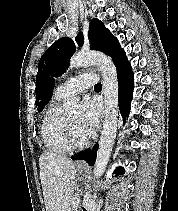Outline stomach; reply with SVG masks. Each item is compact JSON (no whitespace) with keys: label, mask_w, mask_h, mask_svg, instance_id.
<instances>
[{"label":"stomach","mask_w":178,"mask_h":211,"mask_svg":"<svg viewBox=\"0 0 178 211\" xmlns=\"http://www.w3.org/2000/svg\"><path fill=\"white\" fill-rule=\"evenodd\" d=\"M79 171H80V173H83L84 176L87 175V172H85V171H83V170H79Z\"/></svg>","instance_id":"obj_1"}]
</instances>
